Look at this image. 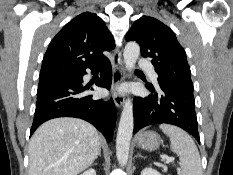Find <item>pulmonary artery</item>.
Listing matches in <instances>:
<instances>
[{
    "label": "pulmonary artery",
    "instance_id": "e3ab8cb5",
    "mask_svg": "<svg viewBox=\"0 0 233 175\" xmlns=\"http://www.w3.org/2000/svg\"><path fill=\"white\" fill-rule=\"evenodd\" d=\"M138 66L144 70H146L147 72H149V74L151 75L152 79L157 82V73L155 72V70L152 67V64L147 61V60H140L138 62Z\"/></svg>",
    "mask_w": 233,
    "mask_h": 175
}]
</instances>
